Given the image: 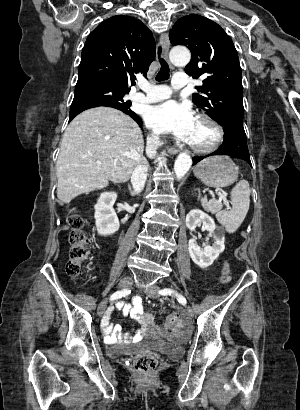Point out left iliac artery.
<instances>
[{"label": "left iliac artery", "instance_id": "1", "mask_svg": "<svg viewBox=\"0 0 300 410\" xmlns=\"http://www.w3.org/2000/svg\"><path fill=\"white\" fill-rule=\"evenodd\" d=\"M159 294L164 295V296L174 294V295H176V297H177V299L180 303H182L183 305H185L187 303L186 299L182 295L178 294L177 292H175L174 290H172L170 288L161 289L159 291Z\"/></svg>", "mask_w": 300, "mask_h": 410}]
</instances>
